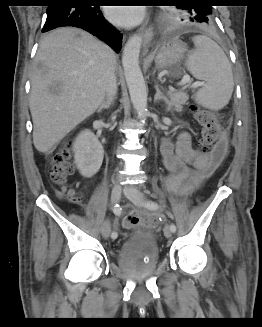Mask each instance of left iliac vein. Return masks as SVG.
Returning <instances> with one entry per match:
<instances>
[{
	"label": "left iliac vein",
	"instance_id": "1",
	"mask_svg": "<svg viewBox=\"0 0 262 327\" xmlns=\"http://www.w3.org/2000/svg\"><path fill=\"white\" fill-rule=\"evenodd\" d=\"M124 195L129 198L133 203L136 205H142L143 201L145 200V196L142 192H140L135 187H125L123 189ZM164 235L166 238H170L172 235V231L168 226L164 227Z\"/></svg>",
	"mask_w": 262,
	"mask_h": 327
}]
</instances>
